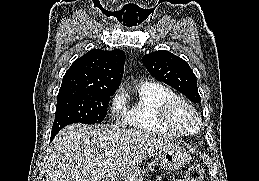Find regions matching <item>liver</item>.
Instances as JSON below:
<instances>
[{
  "mask_svg": "<svg viewBox=\"0 0 259 181\" xmlns=\"http://www.w3.org/2000/svg\"><path fill=\"white\" fill-rule=\"evenodd\" d=\"M172 144L136 130L69 125L53 141L46 181H112Z\"/></svg>",
  "mask_w": 259,
  "mask_h": 181,
  "instance_id": "obj_1",
  "label": "liver"
}]
</instances>
